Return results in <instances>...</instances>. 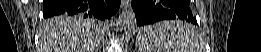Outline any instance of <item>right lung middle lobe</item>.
<instances>
[{"instance_id": "1", "label": "right lung middle lobe", "mask_w": 261, "mask_h": 52, "mask_svg": "<svg viewBox=\"0 0 261 52\" xmlns=\"http://www.w3.org/2000/svg\"><path fill=\"white\" fill-rule=\"evenodd\" d=\"M59 20H64V21H72V20H75V21H85V22H88L90 26H92L93 28L95 29H98L102 26V23L97 21V20H94L92 18H89L87 16H83V15H64L62 16Z\"/></svg>"}]
</instances>
